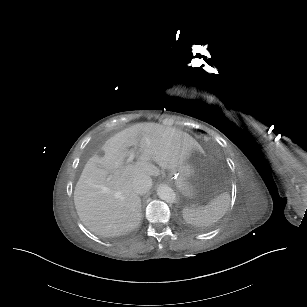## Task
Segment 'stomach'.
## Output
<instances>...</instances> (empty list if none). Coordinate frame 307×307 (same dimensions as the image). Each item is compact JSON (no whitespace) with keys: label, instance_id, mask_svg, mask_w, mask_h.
Masks as SVG:
<instances>
[{"label":"stomach","instance_id":"obj_1","mask_svg":"<svg viewBox=\"0 0 307 307\" xmlns=\"http://www.w3.org/2000/svg\"><path fill=\"white\" fill-rule=\"evenodd\" d=\"M201 155L202 150L193 149L187 159L169 173L170 180L183 194H189L193 191V180L201 161Z\"/></svg>","mask_w":307,"mask_h":307}]
</instances>
